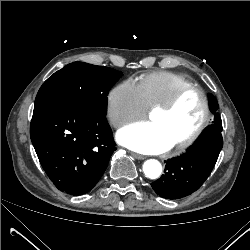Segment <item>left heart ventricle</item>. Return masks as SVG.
<instances>
[{"label":"left heart ventricle","instance_id":"1","mask_svg":"<svg viewBox=\"0 0 250 250\" xmlns=\"http://www.w3.org/2000/svg\"><path fill=\"white\" fill-rule=\"evenodd\" d=\"M203 115L201 97L189 93L169 113L152 112L149 120L156 124L173 144L188 137L200 124Z\"/></svg>","mask_w":250,"mask_h":250}]
</instances>
